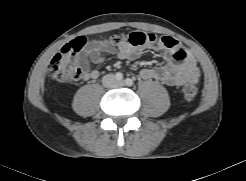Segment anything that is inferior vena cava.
Listing matches in <instances>:
<instances>
[{
    "label": "inferior vena cava",
    "instance_id": "inferior-vena-cava-1",
    "mask_svg": "<svg viewBox=\"0 0 246 181\" xmlns=\"http://www.w3.org/2000/svg\"><path fill=\"white\" fill-rule=\"evenodd\" d=\"M102 83L104 87L111 88L115 85L116 79L113 74H107L103 76Z\"/></svg>",
    "mask_w": 246,
    "mask_h": 181
}]
</instances>
